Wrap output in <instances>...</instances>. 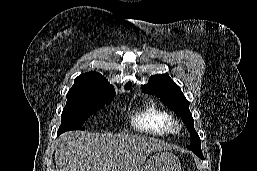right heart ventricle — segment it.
I'll list each match as a JSON object with an SVG mask.
<instances>
[{
    "label": "right heart ventricle",
    "mask_w": 257,
    "mask_h": 171,
    "mask_svg": "<svg viewBox=\"0 0 257 171\" xmlns=\"http://www.w3.org/2000/svg\"><path fill=\"white\" fill-rule=\"evenodd\" d=\"M170 114L154 101L147 102L131 117L133 127L158 136L170 133L168 121Z\"/></svg>",
    "instance_id": "obj_1"
}]
</instances>
